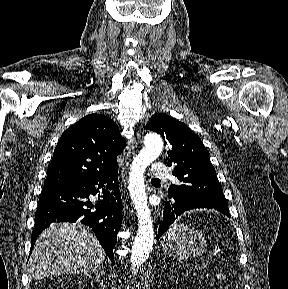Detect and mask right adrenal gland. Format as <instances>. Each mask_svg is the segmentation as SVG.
Instances as JSON below:
<instances>
[{
  "label": "right adrenal gland",
  "instance_id": "right-adrenal-gland-1",
  "mask_svg": "<svg viewBox=\"0 0 288 289\" xmlns=\"http://www.w3.org/2000/svg\"><path fill=\"white\" fill-rule=\"evenodd\" d=\"M95 279H96L97 281L100 279V274H99L98 272L96 273Z\"/></svg>",
  "mask_w": 288,
  "mask_h": 289
}]
</instances>
